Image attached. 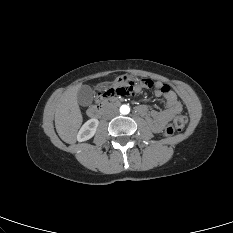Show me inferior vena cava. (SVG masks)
I'll return each instance as SVG.
<instances>
[{"label": "inferior vena cava", "instance_id": "obj_1", "mask_svg": "<svg viewBox=\"0 0 233 233\" xmlns=\"http://www.w3.org/2000/svg\"><path fill=\"white\" fill-rule=\"evenodd\" d=\"M116 114H117V110L114 109V108H111V109H108V110L106 111L105 116H106L107 118H111V117L115 116Z\"/></svg>", "mask_w": 233, "mask_h": 233}]
</instances>
